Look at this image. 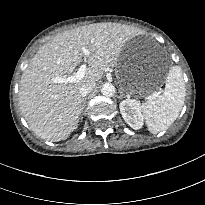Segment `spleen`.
Here are the masks:
<instances>
[{
  "label": "spleen",
  "mask_w": 205,
  "mask_h": 205,
  "mask_svg": "<svg viewBox=\"0 0 205 205\" xmlns=\"http://www.w3.org/2000/svg\"><path fill=\"white\" fill-rule=\"evenodd\" d=\"M185 96L182 69L179 66H173L167 75L163 93L149 96L141 107L148 130L156 134L168 129L179 116Z\"/></svg>",
  "instance_id": "3e777b00"
}]
</instances>
